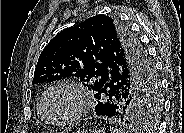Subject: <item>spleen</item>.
<instances>
[{"label": "spleen", "mask_w": 184, "mask_h": 133, "mask_svg": "<svg viewBox=\"0 0 184 133\" xmlns=\"http://www.w3.org/2000/svg\"><path fill=\"white\" fill-rule=\"evenodd\" d=\"M113 133H124L122 130L119 129H112Z\"/></svg>", "instance_id": "obj_1"}]
</instances>
